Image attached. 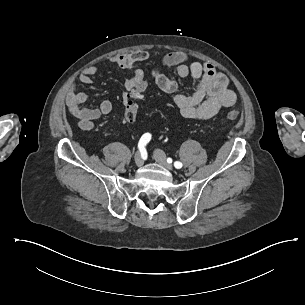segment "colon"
<instances>
[{"instance_id":"1","label":"colon","mask_w":305,"mask_h":305,"mask_svg":"<svg viewBox=\"0 0 305 305\" xmlns=\"http://www.w3.org/2000/svg\"><path fill=\"white\" fill-rule=\"evenodd\" d=\"M146 85L143 82L138 83L137 86L132 87L130 95L127 96L126 101V110H125V119L127 122L132 123L136 118V108L137 100L142 98V92L145 90ZM239 116V111L234 110L226 114V118L229 120L235 119Z\"/></svg>"}]
</instances>
